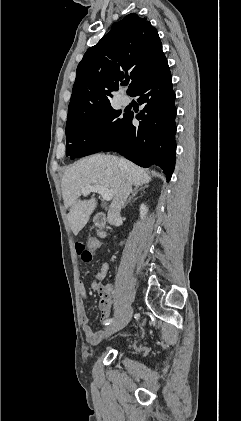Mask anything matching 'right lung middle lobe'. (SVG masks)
I'll list each match as a JSON object with an SVG mask.
<instances>
[{
    "label": "right lung middle lobe",
    "mask_w": 241,
    "mask_h": 421,
    "mask_svg": "<svg viewBox=\"0 0 241 421\" xmlns=\"http://www.w3.org/2000/svg\"><path fill=\"white\" fill-rule=\"evenodd\" d=\"M111 106L66 124V156L71 159L102 151L113 143L126 127L128 113Z\"/></svg>",
    "instance_id": "1"
}]
</instances>
